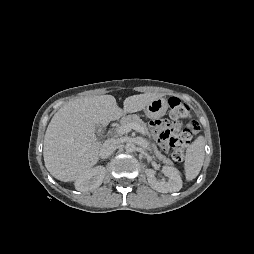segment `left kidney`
Segmentation results:
<instances>
[{"instance_id":"obj_1","label":"left kidney","mask_w":254,"mask_h":254,"mask_svg":"<svg viewBox=\"0 0 254 254\" xmlns=\"http://www.w3.org/2000/svg\"><path fill=\"white\" fill-rule=\"evenodd\" d=\"M163 174L168 177V181H158L153 169H147L146 175L149 185L161 193L177 192L182 188V179L179 172L170 166H163Z\"/></svg>"}]
</instances>
